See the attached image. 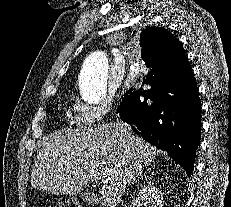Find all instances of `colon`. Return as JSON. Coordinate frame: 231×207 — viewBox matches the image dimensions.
I'll return each mask as SVG.
<instances>
[{"label": "colon", "instance_id": "5ec220e1", "mask_svg": "<svg viewBox=\"0 0 231 207\" xmlns=\"http://www.w3.org/2000/svg\"><path fill=\"white\" fill-rule=\"evenodd\" d=\"M58 207H81V206L74 199L64 198L59 202Z\"/></svg>", "mask_w": 231, "mask_h": 207}]
</instances>
